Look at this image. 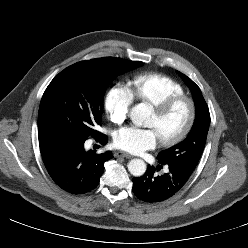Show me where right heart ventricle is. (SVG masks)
<instances>
[{"instance_id":"1","label":"right heart ventricle","mask_w":248,"mask_h":248,"mask_svg":"<svg viewBox=\"0 0 248 248\" xmlns=\"http://www.w3.org/2000/svg\"><path fill=\"white\" fill-rule=\"evenodd\" d=\"M127 89L133 99L150 105H156L168 97L185 93L179 82L171 77L156 73L134 76L128 82Z\"/></svg>"}]
</instances>
